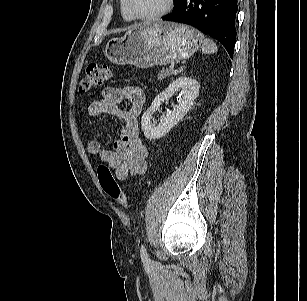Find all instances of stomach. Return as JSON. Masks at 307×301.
Instances as JSON below:
<instances>
[{
    "label": "stomach",
    "mask_w": 307,
    "mask_h": 301,
    "mask_svg": "<svg viewBox=\"0 0 307 301\" xmlns=\"http://www.w3.org/2000/svg\"><path fill=\"white\" fill-rule=\"evenodd\" d=\"M202 40V34L189 25L152 22L110 40L105 55L116 65L148 68L190 57L199 49Z\"/></svg>",
    "instance_id": "0dacf381"
}]
</instances>
